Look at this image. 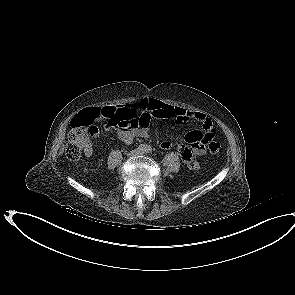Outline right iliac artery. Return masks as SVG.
Masks as SVG:
<instances>
[{"label": "right iliac artery", "instance_id": "82829eb1", "mask_svg": "<svg viewBox=\"0 0 295 295\" xmlns=\"http://www.w3.org/2000/svg\"><path fill=\"white\" fill-rule=\"evenodd\" d=\"M145 149H146V146H145V145H140V146H139V150H140V151H144Z\"/></svg>", "mask_w": 295, "mask_h": 295}]
</instances>
